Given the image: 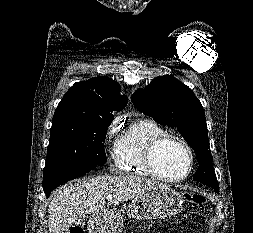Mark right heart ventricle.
I'll return each mask as SVG.
<instances>
[{"label": "right heart ventricle", "mask_w": 253, "mask_h": 233, "mask_svg": "<svg viewBox=\"0 0 253 233\" xmlns=\"http://www.w3.org/2000/svg\"><path fill=\"white\" fill-rule=\"evenodd\" d=\"M165 134L151 118L135 121L116 140L112 156L115 167L121 172L153 176L144 162L145 151L150 141Z\"/></svg>", "instance_id": "1"}]
</instances>
